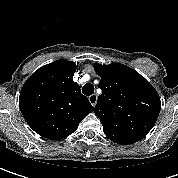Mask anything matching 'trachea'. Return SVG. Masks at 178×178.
Masks as SVG:
<instances>
[{"instance_id":"3493384b","label":"trachea","mask_w":178,"mask_h":178,"mask_svg":"<svg viewBox=\"0 0 178 178\" xmlns=\"http://www.w3.org/2000/svg\"><path fill=\"white\" fill-rule=\"evenodd\" d=\"M82 93L86 96H90L94 93V86L90 83H87L82 88Z\"/></svg>"}]
</instances>
